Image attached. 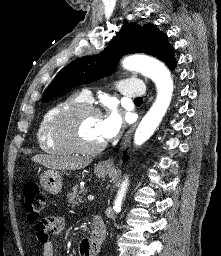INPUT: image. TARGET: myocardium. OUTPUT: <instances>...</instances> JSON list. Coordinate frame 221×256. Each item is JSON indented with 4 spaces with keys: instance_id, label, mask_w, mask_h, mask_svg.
I'll return each instance as SVG.
<instances>
[{
    "instance_id": "myocardium-1",
    "label": "myocardium",
    "mask_w": 221,
    "mask_h": 256,
    "mask_svg": "<svg viewBox=\"0 0 221 256\" xmlns=\"http://www.w3.org/2000/svg\"><path fill=\"white\" fill-rule=\"evenodd\" d=\"M88 114L101 116L100 111L87 103L75 105L64 111L57 119L54 134L57 140L65 144L71 152L80 154H97L105 147V142L95 146H85L77 137V128L80 119Z\"/></svg>"
}]
</instances>
